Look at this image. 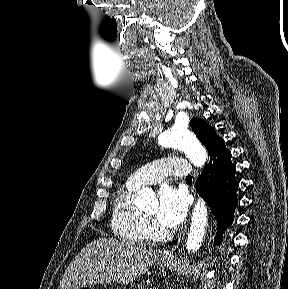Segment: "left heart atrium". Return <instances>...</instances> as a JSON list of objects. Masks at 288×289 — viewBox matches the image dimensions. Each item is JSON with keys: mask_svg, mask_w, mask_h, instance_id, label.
I'll use <instances>...</instances> for the list:
<instances>
[{"mask_svg": "<svg viewBox=\"0 0 288 289\" xmlns=\"http://www.w3.org/2000/svg\"><path fill=\"white\" fill-rule=\"evenodd\" d=\"M187 213V199L180 190L164 186L159 192L158 222L167 228H176Z\"/></svg>", "mask_w": 288, "mask_h": 289, "instance_id": "1", "label": "left heart atrium"}]
</instances>
